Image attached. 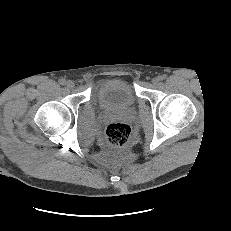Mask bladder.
Wrapping results in <instances>:
<instances>
[{"label": "bladder", "instance_id": "1", "mask_svg": "<svg viewBox=\"0 0 231 231\" xmlns=\"http://www.w3.org/2000/svg\"><path fill=\"white\" fill-rule=\"evenodd\" d=\"M96 99L103 109H125L134 105L136 94L133 86L122 78L103 80L96 89Z\"/></svg>", "mask_w": 231, "mask_h": 231}]
</instances>
